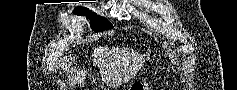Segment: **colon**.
Returning a JSON list of instances; mask_svg holds the SVG:
<instances>
[{"instance_id": "5ec220e1", "label": "colon", "mask_w": 237, "mask_h": 90, "mask_svg": "<svg viewBox=\"0 0 237 90\" xmlns=\"http://www.w3.org/2000/svg\"><path fill=\"white\" fill-rule=\"evenodd\" d=\"M154 88L145 82H137L131 85L129 90H153Z\"/></svg>"}]
</instances>
